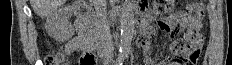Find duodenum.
I'll list each match as a JSON object with an SVG mask.
<instances>
[{"mask_svg": "<svg viewBox=\"0 0 232 65\" xmlns=\"http://www.w3.org/2000/svg\"><path fill=\"white\" fill-rule=\"evenodd\" d=\"M76 14L78 16L76 27L80 33L85 36L88 50L90 52L97 50L100 48L101 42L95 29L93 13L78 3L76 5ZM141 26L142 29H146V23L144 20H142Z\"/></svg>", "mask_w": 232, "mask_h": 65, "instance_id": "1", "label": "duodenum"}]
</instances>
